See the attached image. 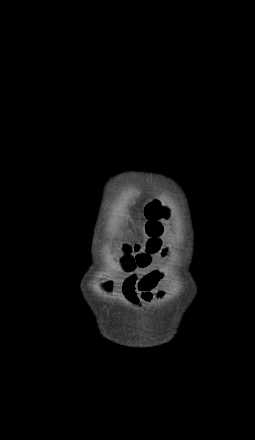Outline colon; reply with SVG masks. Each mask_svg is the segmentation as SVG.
<instances>
[{
	"mask_svg": "<svg viewBox=\"0 0 255 440\" xmlns=\"http://www.w3.org/2000/svg\"><path fill=\"white\" fill-rule=\"evenodd\" d=\"M145 217L146 240L143 246L135 245L126 248L128 253L126 267L128 269L135 266H146L150 261V256L160 252V237L165 232L163 222L169 219L170 211L160 201L153 200L145 207Z\"/></svg>",
	"mask_w": 255,
	"mask_h": 440,
	"instance_id": "colon-1",
	"label": "colon"
}]
</instances>
